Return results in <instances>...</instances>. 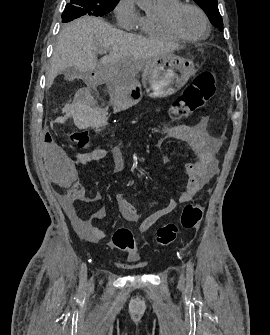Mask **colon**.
I'll return each mask as SVG.
<instances>
[{"label":"colon","mask_w":270,"mask_h":335,"mask_svg":"<svg viewBox=\"0 0 270 335\" xmlns=\"http://www.w3.org/2000/svg\"><path fill=\"white\" fill-rule=\"evenodd\" d=\"M216 91V75L211 71L199 73L191 84L185 89L174 103L171 116L180 119L190 112H194L210 100ZM70 140L79 148H87L91 145V136L85 130L74 131ZM202 218V205L189 202L176 221L166 222L156 231V242L166 248L171 246L179 233L183 230H192L199 226ZM112 245L115 249L127 252L132 258L140 254V249L135 245L132 232L127 228H119L114 231Z\"/></svg>","instance_id":"1"}]
</instances>
